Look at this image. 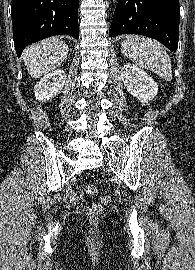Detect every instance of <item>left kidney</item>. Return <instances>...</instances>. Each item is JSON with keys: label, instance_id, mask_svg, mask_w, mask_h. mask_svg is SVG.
Segmentation results:
<instances>
[{"label": "left kidney", "instance_id": "obj_1", "mask_svg": "<svg viewBox=\"0 0 195 270\" xmlns=\"http://www.w3.org/2000/svg\"><path fill=\"white\" fill-rule=\"evenodd\" d=\"M121 78L128 92L142 103L151 101L157 95V83L145 71L131 63L122 67Z\"/></svg>", "mask_w": 195, "mask_h": 270}]
</instances>
